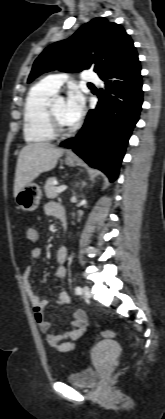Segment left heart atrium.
I'll use <instances>...</instances> for the list:
<instances>
[{"mask_svg": "<svg viewBox=\"0 0 165 419\" xmlns=\"http://www.w3.org/2000/svg\"><path fill=\"white\" fill-rule=\"evenodd\" d=\"M85 99L78 90H72L65 102V118L71 124L76 123L83 115Z\"/></svg>", "mask_w": 165, "mask_h": 419, "instance_id": "39dd6f15", "label": "left heart atrium"}]
</instances>
